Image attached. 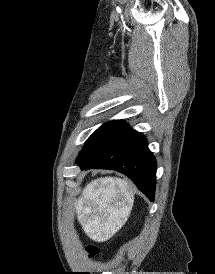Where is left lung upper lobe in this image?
<instances>
[{"mask_svg": "<svg viewBox=\"0 0 215 274\" xmlns=\"http://www.w3.org/2000/svg\"><path fill=\"white\" fill-rule=\"evenodd\" d=\"M124 124L123 120H113L100 126L87 140L84 148L79 153L76 162L81 161L94 149H96L106 138H108L118 127Z\"/></svg>", "mask_w": 215, "mask_h": 274, "instance_id": "obj_1", "label": "left lung upper lobe"}]
</instances>
